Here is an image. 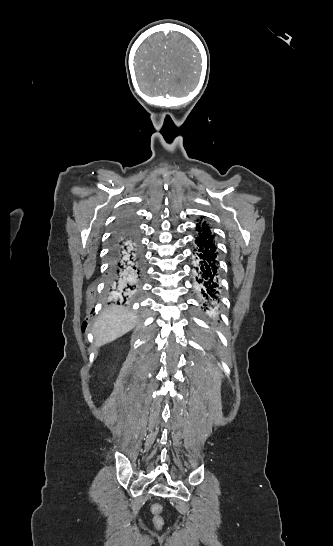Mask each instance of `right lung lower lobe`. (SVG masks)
I'll list each match as a JSON object with an SVG mask.
<instances>
[{
	"mask_svg": "<svg viewBox=\"0 0 333 546\" xmlns=\"http://www.w3.org/2000/svg\"><path fill=\"white\" fill-rule=\"evenodd\" d=\"M109 284L113 295L129 298L142 275V253L137 234L122 227L114 233L110 248Z\"/></svg>",
	"mask_w": 333,
	"mask_h": 546,
	"instance_id": "98d812e1",
	"label": "right lung lower lobe"
}]
</instances>
